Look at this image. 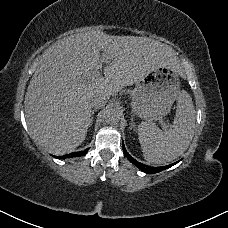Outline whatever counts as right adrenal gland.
<instances>
[{
  "instance_id": "2a0ac1e0",
  "label": "right adrenal gland",
  "mask_w": 228,
  "mask_h": 228,
  "mask_svg": "<svg viewBox=\"0 0 228 228\" xmlns=\"http://www.w3.org/2000/svg\"><path fill=\"white\" fill-rule=\"evenodd\" d=\"M93 114H94V111H92V113H91V122H90V124H89V127H91L92 126V124H93Z\"/></svg>"
}]
</instances>
